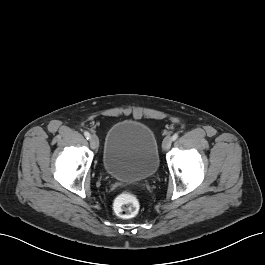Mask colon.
Here are the masks:
<instances>
[{
  "mask_svg": "<svg viewBox=\"0 0 265 265\" xmlns=\"http://www.w3.org/2000/svg\"><path fill=\"white\" fill-rule=\"evenodd\" d=\"M139 209L136 197L129 192L120 194L115 201V210L122 218L134 217Z\"/></svg>",
  "mask_w": 265,
  "mask_h": 265,
  "instance_id": "1",
  "label": "colon"
}]
</instances>
